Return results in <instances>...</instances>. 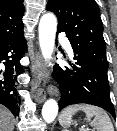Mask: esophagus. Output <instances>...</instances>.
<instances>
[{"label":"esophagus","instance_id":"1","mask_svg":"<svg viewBox=\"0 0 117 131\" xmlns=\"http://www.w3.org/2000/svg\"><path fill=\"white\" fill-rule=\"evenodd\" d=\"M34 71L35 76L38 82H44L46 83L49 78V73L46 69V66L43 62V59L40 54H36L35 60H34ZM49 91H53V87L49 86ZM46 98V91L43 88H39L37 90V96L36 99L38 102H43Z\"/></svg>","mask_w":117,"mask_h":131}]
</instances>
